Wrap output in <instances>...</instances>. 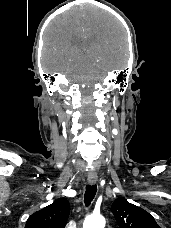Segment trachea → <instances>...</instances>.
Listing matches in <instances>:
<instances>
[{
    "mask_svg": "<svg viewBox=\"0 0 171 228\" xmlns=\"http://www.w3.org/2000/svg\"><path fill=\"white\" fill-rule=\"evenodd\" d=\"M97 192V187L96 185H87L86 186V191L84 195V203L86 206H89L91 202L93 201L95 195Z\"/></svg>",
    "mask_w": 171,
    "mask_h": 228,
    "instance_id": "obj_1",
    "label": "trachea"
}]
</instances>
